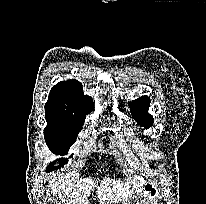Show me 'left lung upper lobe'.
I'll use <instances>...</instances> for the list:
<instances>
[{"label": "left lung upper lobe", "mask_w": 206, "mask_h": 204, "mask_svg": "<svg viewBox=\"0 0 206 204\" xmlns=\"http://www.w3.org/2000/svg\"><path fill=\"white\" fill-rule=\"evenodd\" d=\"M130 112L135 121L140 124V126L146 129L150 128L153 124L152 116L147 113L150 106V98L147 96H142L130 103Z\"/></svg>", "instance_id": "1"}]
</instances>
